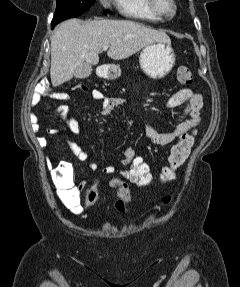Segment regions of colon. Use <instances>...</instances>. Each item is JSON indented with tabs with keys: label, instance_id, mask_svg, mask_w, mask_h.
I'll use <instances>...</instances> for the list:
<instances>
[{
	"label": "colon",
	"instance_id": "5ec220e1",
	"mask_svg": "<svg viewBox=\"0 0 240 287\" xmlns=\"http://www.w3.org/2000/svg\"><path fill=\"white\" fill-rule=\"evenodd\" d=\"M177 79L182 84L191 85L193 83L192 72L187 67L181 66L177 69ZM83 88V85L76 87V89L82 90ZM194 135L195 131H189L180 135L179 141L170 148L167 162L160 169L158 175L152 171L146 159L136 153L126 168L125 179L140 187L149 185L156 177L161 183H171L175 179L176 170L182 166L190 154L194 144ZM52 177L54 182L60 187L62 194L68 195L76 190L73 182V169L70 163L65 161L60 162L52 170ZM109 184L117 189L118 200L115 204L116 210L120 213H124L127 210L131 198V192L127 183L119 179H114L111 180ZM98 188L99 186L97 184L87 188L85 196L86 209H91L97 202L99 195ZM170 200L171 198L166 196L164 203L168 204Z\"/></svg>",
	"mask_w": 240,
	"mask_h": 287
}]
</instances>
